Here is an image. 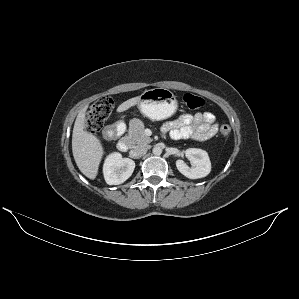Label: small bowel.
I'll list each match as a JSON object with an SVG mask.
<instances>
[{
    "label": "small bowel",
    "mask_w": 299,
    "mask_h": 299,
    "mask_svg": "<svg viewBox=\"0 0 299 299\" xmlns=\"http://www.w3.org/2000/svg\"><path fill=\"white\" fill-rule=\"evenodd\" d=\"M218 128L216 117L210 112L184 113L164 126V130L169 131L174 139L192 138L199 141L212 138Z\"/></svg>",
    "instance_id": "obj_1"
}]
</instances>
